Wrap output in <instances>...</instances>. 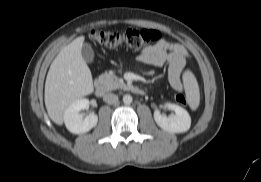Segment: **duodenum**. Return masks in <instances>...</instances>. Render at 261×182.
<instances>
[{
	"mask_svg": "<svg viewBox=\"0 0 261 182\" xmlns=\"http://www.w3.org/2000/svg\"><path fill=\"white\" fill-rule=\"evenodd\" d=\"M129 89L138 95H143L145 93L144 89L136 86V85H130ZM106 92V88L105 85L102 82H98L95 86V94L99 97L103 96Z\"/></svg>",
	"mask_w": 261,
	"mask_h": 182,
	"instance_id": "duodenum-1",
	"label": "duodenum"
}]
</instances>
